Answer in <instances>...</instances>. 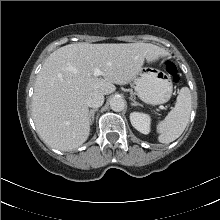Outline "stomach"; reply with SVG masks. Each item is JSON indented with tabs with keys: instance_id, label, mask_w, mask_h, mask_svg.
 I'll return each instance as SVG.
<instances>
[{
	"instance_id": "1",
	"label": "stomach",
	"mask_w": 220,
	"mask_h": 220,
	"mask_svg": "<svg viewBox=\"0 0 220 220\" xmlns=\"http://www.w3.org/2000/svg\"><path fill=\"white\" fill-rule=\"evenodd\" d=\"M138 97L145 103L159 105L171 98L173 85L165 72L155 68H145L133 78Z\"/></svg>"
}]
</instances>
